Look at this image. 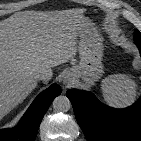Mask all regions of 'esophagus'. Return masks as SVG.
Here are the masks:
<instances>
[{"label":"esophagus","instance_id":"1","mask_svg":"<svg viewBox=\"0 0 141 141\" xmlns=\"http://www.w3.org/2000/svg\"><path fill=\"white\" fill-rule=\"evenodd\" d=\"M70 83V79L68 77H65L63 80V84L67 85Z\"/></svg>","mask_w":141,"mask_h":141}]
</instances>
